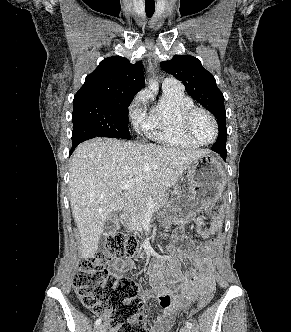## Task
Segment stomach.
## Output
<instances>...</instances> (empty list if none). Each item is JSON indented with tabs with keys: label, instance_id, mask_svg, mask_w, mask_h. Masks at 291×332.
<instances>
[{
	"label": "stomach",
	"instance_id": "0dacf381",
	"mask_svg": "<svg viewBox=\"0 0 291 332\" xmlns=\"http://www.w3.org/2000/svg\"><path fill=\"white\" fill-rule=\"evenodd\" d=\"M187 178V189H174L169 208L194 214L215 203L220 197L224 186V172L214 156L206 154L195 159L188 167Z\"/></svg>",
	"mask_w": 291,
	"mask_h": 332
}]
</instances>
